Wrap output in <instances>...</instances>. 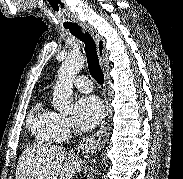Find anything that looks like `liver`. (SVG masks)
I'll list each match as a JSON object with an SVG mask.
<instances>
[{
    "label": "liver",
    "instance_id": "obj_1",
    "mask_svg": "<svg viewBox=\"0 0 183 179\" xmlns=\"http://www.w3.org/2000/svg\"><path fill=\"white\" fill-rule=\"evenodd\" d=\"M80 170L78 157L74 155L66 157L63 147L33 145L21 154L15 179H57L59 174L60 179H71L75 172Z\"/></svg>",
    "mask_w": 183,
    "mask_h": 179
}]
</instances>
